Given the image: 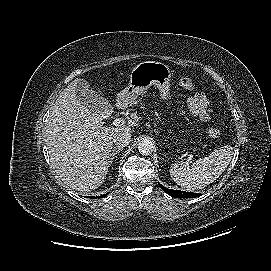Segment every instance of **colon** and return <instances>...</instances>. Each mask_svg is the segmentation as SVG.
I'll return each mask as SVG.
<instances>
[{
	"instance_id": "1",
	"label": "colon",
	"mask_w": 271,
	"mask_h": 271,
	"mask_svg": "<svg viewBox=\"0 0 271 271\" xmlns=\"http://www.w3.org/2000/svg\"><path fill=\"white\" fill-rule=\"evenodd\" d=\"M179 85L186 90H191L194 87L193 81L188 77H182L179 80ZM221 134V129L217 126H214L209 129L208 135L211 138H217Z\"/></svg>"
}]
</instances>
